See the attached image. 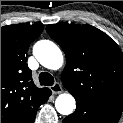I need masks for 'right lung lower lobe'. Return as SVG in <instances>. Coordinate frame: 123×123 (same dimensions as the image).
I'll return each instance as SVG.
<instances>
[{
    "label": "right lung lower lobe",
    "instance_id": "1",
    "mask_svg": "<svg viewBox=\"0 0 123 123\" xmlns=\"http://www.w3.org/2000/svg\"><path fill=\"white\" fill-rule=\"evenodd\" d=\"M51 93H52V92L49 90V92H48L47 95L45 96V99H44L43 103H45V102L48 100V98H49V96L51 95ZM43 103H42V104H43ZM36 111H37V110H36ZM36 111H35L24 123H33L34 120H35Z\"/></svg>",
    "mask_w": 123,
    "mask_h": 123
}]
</instances>
